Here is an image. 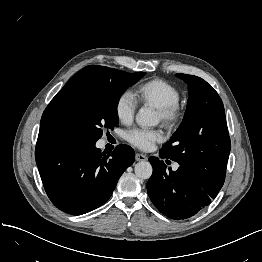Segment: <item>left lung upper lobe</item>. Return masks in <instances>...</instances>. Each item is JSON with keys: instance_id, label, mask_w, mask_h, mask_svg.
<instances>
[{"instance_id": "left-lung-upper-lobe-1", "label": "left lung upper lobe", "mask_w": 262, "mask_h": 262, "mask_svg": "<svg viewBox=\"0 0 262 262\" xmlns=\"http://www.w3.org/2000/svg\"><path fill=\"white\" fill-rule=\"evenodd\" d=\"M188 84L183 122L160 152L210 185L225 179L231 142L217 92L202 78L178 73Z\"/></svg>"}]
</instances>
